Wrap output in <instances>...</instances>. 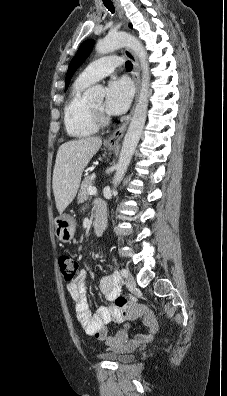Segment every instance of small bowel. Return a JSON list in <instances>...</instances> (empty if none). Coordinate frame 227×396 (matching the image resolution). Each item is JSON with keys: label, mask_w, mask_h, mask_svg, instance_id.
Segmentation results:
<instances>
[{"label": "small bowel", "mask_w": 227, "mask_h": 396, "mask_svg": "<svg viewBox=\"0 0 227 396\" xmlns=\"http://www.w3.org/2000/svg\"><path fill=\"white\" fill-rule=\"evenodd\" d=\"M103 207L98 206V214H103ZM99 290L102 296L110 304L98 307L91 312L87 299L86 271L80 270L74 280L68 285L69 294L75 305V313L78 321L89 335L104 341L113 349L133 346L152 339L157 331V321L153 313L143 304L128 302L125 306L116 304L120 295L121 284L113 275H104L99 281ZM141 319L145 331L129 338L126 330L116 335H109L106 325L109 323H123Z\"/></svg>", "instance_id": "c3829d8e"}]
</instances>
